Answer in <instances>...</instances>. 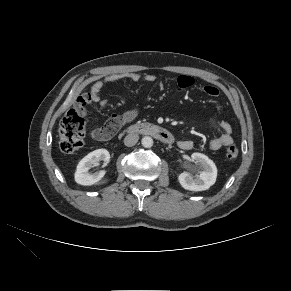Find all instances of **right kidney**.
<instances>
[{"instance_id":"ca27d5eb","label":"right kidney","mask_w":291,"mask_h":291,"mask_svg":"<svg viewBox=\"0 0 291 291\" xmlns=\"http://www.w3.org/2000/svg\"><path fill=\"white\" fill-rule=\"evenodd\" d=\"M110 160V154L106 149H97L86 155L77 165L75 172V181L84 186L104 183L105 171L91 173L89 170L98 165L100 161L107 164Z\"/></svg>"}]
</instances>
